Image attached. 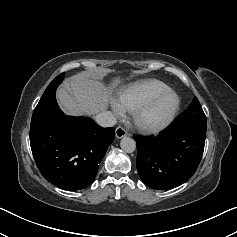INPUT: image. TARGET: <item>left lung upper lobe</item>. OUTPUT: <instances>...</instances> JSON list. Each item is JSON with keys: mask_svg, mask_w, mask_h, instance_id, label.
<instances>
[{"mask_svg": "<svg viewBox=\"0 0 237 237\" xmlns=\"http://www.w3.org/2000/svg\"><path fill=\"white\" fill-rule=\"evenodd\" d=\"M175 122L207 125L206 116L197 97L193 99L187 110L175 119Z\"/></svg>", "mask_w": 237, "mask_h": 237, "instance_id": "obj_1", "label": "left lung upper lobe"}]
</instances>
